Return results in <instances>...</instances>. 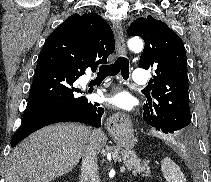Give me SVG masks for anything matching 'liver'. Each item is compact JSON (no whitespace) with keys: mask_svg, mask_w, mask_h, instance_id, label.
Instances as JSON below:
<instances>
[{"mask_svg":"<svg viewBox=\"0 0 211 182\" xmlns=\"http://www.w3.org/2000/svg\"><path fill=\"white\" fill-rule=\"evenodd\" d=\"M90 139L98 153L107 142L103 131L80 124H57L36 131L12 151L7 182H50L69 173Z\"/></svg>","mask_w":211,"mask_h":182,"instance_id":"obj_1","label":"liver"}]
</instances>
